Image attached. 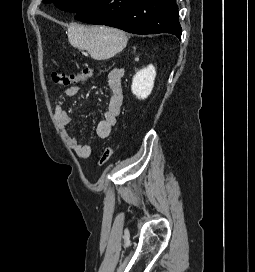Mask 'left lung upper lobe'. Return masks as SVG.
<instances>
[{
	"instance_id": "obj_1",
	"label": "left lung upper lobe",
	"mask_w": 255,
	"mask_h": 272,
	"mask_svg": "<svg viewBox=\"0 0 255 272\" xmlns=\"http://www.w3.org/2000/svg\"><path fill=\"white\" fill-rule=\"evenodd\" d=\"M97 0H43L44 3H52L61 10L78 13L92 6Z\"/></svg>"
}]
</instances>
